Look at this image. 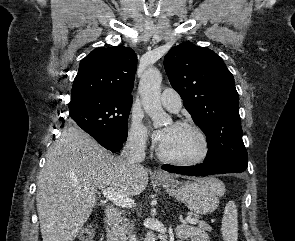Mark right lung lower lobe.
Here are the masks:
<instances>
[{"mask_svg":"<svg viewBox=\"0 0 295 241\" xmlns=\"http://www.w3.org/2000/svg\"><path fill=\"white\" fill-rule=\"evenodd\" d=\"M91 136L103 147L106 149L112 151V152H117L122 148L123 142L121 141H112L110 139H107L105 137L96 135V134H91Z\"/></svg>","mask_w":295,"mask_h":241,"instance_id":"1","label":"right lung lower lobe"}]
</instances>
